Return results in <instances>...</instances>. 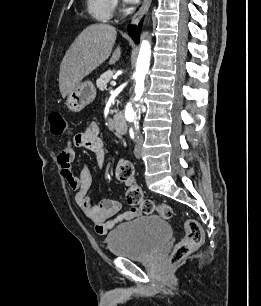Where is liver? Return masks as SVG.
<instances>
[{"label": "liver", "mask_w": 261, "mask_h": 306, "mask_svg": "<svg viewBox=\"0 0 261 306\" xmlns=\"http://www.w3.org/2000/svg\"><path fill=\"white\" fill-rule=\"evenodd\" d=\"M116 35L113 26L102 23L90 25L80 33L60 65L59 89L63 98L110 57ZM120 57L121 48L117 47L109 64H114Z\"/></svg>", "instance_id": "liver-1"}]
</instances>
